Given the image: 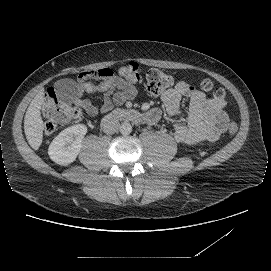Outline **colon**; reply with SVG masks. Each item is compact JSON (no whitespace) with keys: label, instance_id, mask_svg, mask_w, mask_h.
<instances>
[{"label":"colon","instance_id":"obj_1","mask_svg":"<svg viewBox=\"0 0 271 271\" xmlns=\"http://www.w3.org/2000/svg\"><path fill=\"white\" fill-rule=\"evenodd\" d=\"M119 78L129 85H136L140 82L139 66L135 62L127 63L118 69ZM174 84L172 74L156 68L150 69L146 74V87L148 91L157 95L169 89ZM204 91H210L217 100H223L225 91L223 88L215 87L213 83L205 79L201 82ZM43 128L44 132L51 134L59 125L69 123L81 117V110L78 107L66 104L59 100L52 89H48L44 96L43 108ZM238 126L235 122H230L228 131L231 135L237 133Z\"/></svg>","mask_w":271,"mask_h":271}]
</instances>
